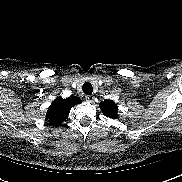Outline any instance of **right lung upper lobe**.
<instances>
[{"instance_id":"right-lung-upper-lobe-1","label":"right lung upper lobe","mask_w":182,"mask_h":182,"mask_svg":"<svg viewBox=\"0 0 182 182\" xmlns=\"http://www.w3.org/2000/svg\"><path fill=\"white\" fill-rule=\"evenodd\" d=\"M81 102L82 100L75 96L66 99H63L61 96L57 97L48 108L46 120L51 125H61L67 119L71 108Z\"/></svg>"}]
</instances>
